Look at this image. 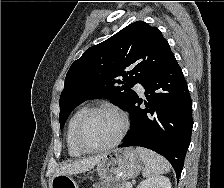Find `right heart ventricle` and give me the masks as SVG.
Returning a JSON list of instances; mask_svg holds the SVG:
<instances>
[{
  "mask_svg": "<svg viewBox=\"0 0 224 188\" xmlns=\"http://www.w3.org/2000/svg\"><path fill=\"white\" fill-rule=\"evenodd\" d=\"M87 110H88L87 106L80 107L72 115V117L70 118L68 122V127L66 132V144H67L69 155L74 158L81 157L85 153L77 147L75 143V139H74V132H75V128L79 119Z\"/></svg>",
  "mask_w": 224,
  "mask_h": 188,
  "instance_id": "right-heart-ventricle-1",
  "label": "right heart ventricle"
}]
</instances>
